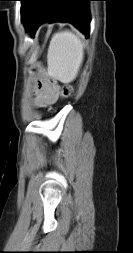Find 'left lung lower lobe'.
<instances>
[{"instance_id":"0a47b994","label":"left lung lower lobe","mask_w":133,"mask_h":253,"mask_svg":"<svg viewBox=\"0 0 133 253\" xmlns=\"http://www.w3.org/2000/svg\"><path fill=\"white\" fill-rule=\"evenodd\" d=\"M90 1L94 0H23L21 16L31 35L44 22H69L88 37Z\"/></svg>"}]
</instances>
